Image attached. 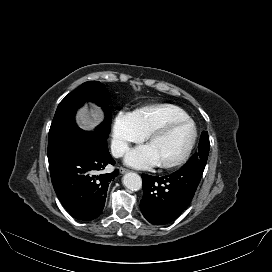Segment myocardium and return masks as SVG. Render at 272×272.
Returning a JSON list of instances; mask_svg holds the SVG:
<instances>
[{
  "mask_svg": "<svg viewBox=\"0 0 272 272\" xmlns=\"http://www.w3.org/2000/svg\"><path fill=\"white\" fill-rule=\"evenodd\" d=\"M179 124H188L192 128V138L191 141L186 149V151L175 161L170 163H158V166L163 169H174L177 167L182 166L191 156V153L196 145L197 138H198V129L195 122L191 118H180V119H173L170 121L165 122L164 124L160 125L159 127L153 129L146 135V143L148 144L152 139L161 136L168 132L171 128L179 125Z\"/></svg>",
  "mask_w": 272,
  "mask_h": 272,
  "instance_id": "myocardium-1",
  "label": "myocardium"
}]
</instances>
